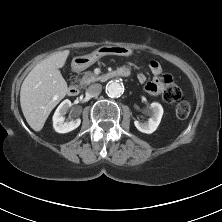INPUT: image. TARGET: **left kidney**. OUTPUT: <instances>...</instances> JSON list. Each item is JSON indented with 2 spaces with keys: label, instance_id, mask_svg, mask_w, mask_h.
Here are the masks:
<instances>
[{
  "label": "left kidney",
  "instance_id": "left-kidney-1",
  "mask_svg": "<svg viewBox=\"0 0 222 222\" xmlns=\"http://www.w3.org/2000/svg\"><path fill=\"white\" fill-rule=\"evenodd\" d=\"M150 110L152 117L147 122H139L134 121L135 127L142 133L151 134L153 133L158 125L160 124L162 115H163V107L158 102H153L150 105Z\"/></svg>",
  "mask_w": 222,
  "mask_h": 222
}]
</instances>
